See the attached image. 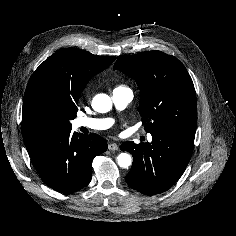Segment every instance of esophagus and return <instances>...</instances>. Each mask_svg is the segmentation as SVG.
I'll list each match as a JSON object with an SVG mask.
<instances>
[{"instance_id": "34e87169", "label": "esophagus", "mask_w": 236, "mask_h": 236, "mask_svg": "<svg viewBox=\"0 0 236 236\" xmlns=\"http://www.w3.org/2000/svg\"><path fill=\"white\" fill-rule=\"evenodd\" d=\"M118 145L116 143H110L108 145V149L111 150V151H115V150H118Z\"/></svg>"}]
</instances>
